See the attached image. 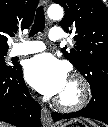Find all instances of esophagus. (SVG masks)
<instances>
[{"label":"esophagus","mask_w":108,"mask_h":127,"mask_svg":"<svg viewBox=\"0 0 108 127\" xmlns=\"http://www.w3.org/2000/svg\"><path fill=\"white\" fill-rule=\"evenodd\" d=\"M44 5H47V0H42ZM41 121L44 127H52L53 121L51 118V113L46 107H42L41 110Z\"/></svg>","instance_id":"34e87169"}]
</instances>
